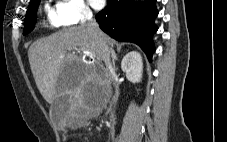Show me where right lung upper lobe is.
Wrapping results in <instances>:
<instances>
[{"label": "right lung upper lobe", "mask_w": 227, "mask_h": 142, "mask_svg": "<svg viewBox=\"0 0 227 142\" xmlns=\"http://www.w3.org/2000/svg\"><path fill=\"white\" fill-rule=\"evenodd\" d=\"M34 1H36V0H31L30 3H31V2H34Z\"/></svg>", "instance_id": "obj_1"}]
</instances>
